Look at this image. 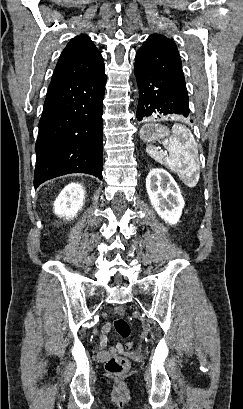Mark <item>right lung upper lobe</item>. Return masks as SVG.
I'll return each instance as SVG.
<instances>
[{
  "instance_id": "1",
  "label": "right lung upper lobe",
  "mask_w": 243,
  "mask_h": 409,
  "mask_svg": "<svg viewBox=\"0 0 243 409\" xmlns=\"http://www.w3.org/2000/svg\"><path fill=\"white\" fill-rule=\"evenodd\" d=\"M103 66V58L94 43L87 35H80L61 53L53 78H81L96 73Z\"/></svg>"
}]
</instances>
